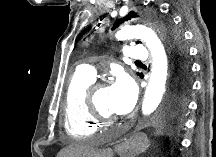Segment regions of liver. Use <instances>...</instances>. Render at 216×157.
I'll use <instances>...</instances> for the list:
<instances>
[{
  "label": "liver",
  "mask_w": 216,
  "mask_h": 157,
  "mask_svg": "<svg viewBox=\"0 0 216 157\" xmlns=\"http://www.w3.org/2000/svg\"><path fill=\"white\" fill-rule=\"evenodd\" d=\"M112 152L107 150H96L89 143H72L67 148L60 151L58 157H110Z\"/></svg>",
  "instance_id": "1"
}]
</instances>
